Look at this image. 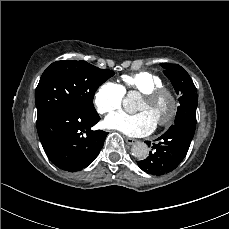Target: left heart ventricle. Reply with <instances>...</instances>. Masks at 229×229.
Masks as SVG:
<instances>
[{"label": "left heart ventricle", "instance_id": "obj_1", "mask_svg": "<svg viewBox=\"0 0 229 229\" xmlns=\"http://www.w3.org/2000/svg\"><path fill=\"white\" fill-rule=\"evenodd\" d=\"M171 103L166 97L156 102H150L144 97L139 103L137 110L147 112L155 121L164 119L170 112Z\"/></svg>", "mask_w": 229, "mask_h": 229}]
</instances>
